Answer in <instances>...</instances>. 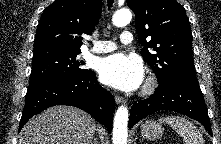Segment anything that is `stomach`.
<instances>
[{
    "instance_id": "stomach-1",
    "label": "stomach",
    "mask_w": 221,
    "mask_h": 144,
    "mask_svg": "<svg viewBox=\"0 0 221 144\" xmlns=\"http://www.w3.org/2000/svg\"><path fill=\"white\" fill-rule=\"evenodd\" d=\"M141 135L148 140L159 139L163 134L162 126L154 120H147L140 125Z\"/></svg>"
}]
</instances>
